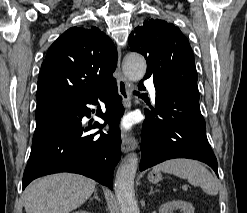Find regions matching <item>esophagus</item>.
Instances as JSON below:
<instances>
[{
  "mask_svg": "<svg viewBox=\"0 0 247 213\" xmlns=\"http://www.w3.org/2000/svg\"><path fill=\"white\" fill-rule=\"evenodd\" d=\"M120 61H121V49L118 47V70H119V78L117 80L118 91L120 96L122 97L123 103L127 109L131 107V83L122 75L120 70ZM137 147L136 139L130 134H124L122 136V152L127 153L131 150H134Z\"/></svg>",
  "mask_w": 247,
  "mask_h": 213,
  "instance_id": "1",
  "label": "esophagus"
}]
</instances>
